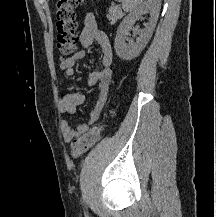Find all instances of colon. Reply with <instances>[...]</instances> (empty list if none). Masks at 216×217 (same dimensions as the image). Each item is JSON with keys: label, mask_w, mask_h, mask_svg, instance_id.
<instances>
[{"label": "colon", "mask_w": 216, "mask_h": 217, "mask_svg": "<svg viewBox=\"0 0 216 217\" xmlns=\"http://www.w3.org/2000/svg\"><path fill=\"white\" fill-rule=\"evenodd\" d=\"M83 0H57L55 3V21L57 29L56 48L62 60L72 57L77 43V20L75 8ZM103 126L97 125L86 131L80 138L75 140L71 146L73 159L79 158L82 154L93 147L101 138Z\"/></svg>", "instance_id": "1"}]
</instances>
